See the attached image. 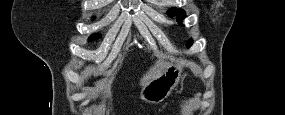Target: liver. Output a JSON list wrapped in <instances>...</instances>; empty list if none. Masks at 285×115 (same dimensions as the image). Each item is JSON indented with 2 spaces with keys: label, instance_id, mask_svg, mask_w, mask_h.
Masks as SVG:
<instances>
[{
  "label": "liver",
  "instance_id": "1",
  "mask_svg": "<svg viewBox=\"0 0 285 115\" xmlns=\"http://www.w3.org/2000/svg\"><path fill=\"white\" fill-rule=\"evenodd\" d=\"M169 66L170 64L168 62L157 60L155 65L148 70V72L143 76V78H141L140 85L144 87L153 79L158 78L167 70Z\"/></svg>",
  "mask_w": 285,
  "mask_h": 115
}]
</instances>
